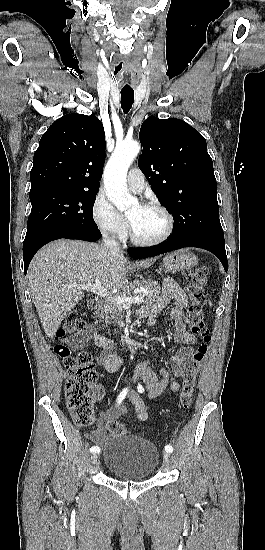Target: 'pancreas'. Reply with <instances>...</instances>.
I'll use <instances>...</instances> for the list:
<instances>
[{"mask_svg":"<svg viewBox=\"0 0 265 550\" xmlns=\"http://www.w3.org/2000/svg\"><path fill=\"white\" fill-rule=\"evenodd\" d=\"M136 287L138 288H144L147 290V295H142L141 297L145 299L146 304H152L155 302L157 298H159L160 295V285L157 281L152 280H144L139 281L136 280L133 283H131L128 287L124 288L122 292V296L127 295L130 293L133 289ZM123 313V307L119 306L114 299H106L105 303L103 304V307L98 314V316L105 322L106 324L110 322V320L116 321L118 317H120Z\"/></svg>","mask_w":265,"mask_h":550,"instance_id":"obj_1","label":"pancreas"}]
</instances>
